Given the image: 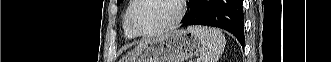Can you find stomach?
<instances>
[{"label":"stomach","instance_id":"1","mask_svg":"<svg viewBox=\"0 0 331 62\" xmlns=\"http://www.w3.org/2000/svg\"><path fill=\"white\" fill-rule=\"evenodd\" d=\"M200 40L186 30H172L144 41L131 54L132 62H185L201 49Z\"/></svg>","mask_w":331,"mask_h":62}]
</instances>
